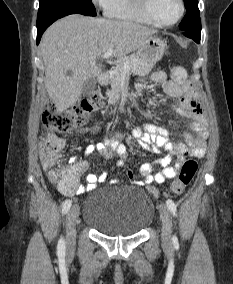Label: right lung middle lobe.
I'll return each mask as SVG.
<instances>
[{"label": "right lung middle lobe", "mask_w": 233, "mask_h": 284, "mask_svg": "<svg viewBox=\"0 0 233 284\" xmlns=\"http://www.w3.org/2000/svg\"><path fill=\"white\" fill-rule=\"evenodd\" d=\"M74 13L97 15L91 0H40L37 27Z\"/></svg>", "instance_id": "dd1d6c3e"}]
</instances>
